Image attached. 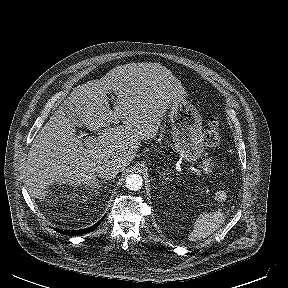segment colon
I'll use <instances>...</instances> for the list:
<instances>
[{
  "mask_svg": "<svg viewBox=\"0 0 288 288\" xmlns=\"http://www.w3.org/2000/svg\"><path fill=\"white\" fill-rule=\"evenodd\" d=\"M222 124L217 119H211L208 122V127L203 135L204 143L211 148H219L222 142L221 137Z\"/></svg>",
  "mask_w": 288,
  "mask_h": 288,
  "instance_id": "colon-1",
  "label": "colon"
}]
</instances>
